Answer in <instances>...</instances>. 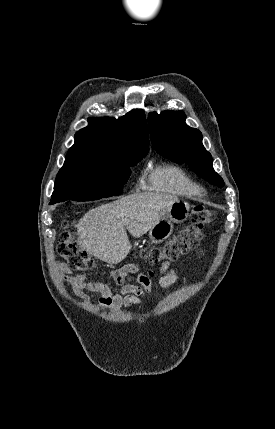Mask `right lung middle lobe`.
Wrapping results in <instances>:
<instances>
[{
    "label": "right lung middle lobe",
    "mask_w": 275,
    "mask_h": 429,
    "mask_svg": "<svg viewBox=\"0 0 275 429\" xmlns=\"http://www.w3.org/2000/svg\"><path fill=\"white\" fill-rule=\"evenodd\" d=\"M144 156L125 154L109 159L66 160L56 177L52 201H91L120 195L130 177V166Z\"/></svg>",
    "instance_id": "obj_1"
}]
</instances>
